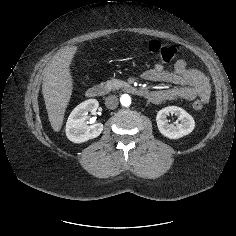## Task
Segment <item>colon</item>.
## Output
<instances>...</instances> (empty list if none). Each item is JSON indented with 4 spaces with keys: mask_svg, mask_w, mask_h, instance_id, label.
I'll return each mask as SVG.
<instances>
[{
    "mask_svg": "<svg viewBox=\"0 0 236 236\" xmlns=\"http://www.w3.org/2000/svg\"><path fill=\"white\" fill-rule=\"evenodd\" d=\"M149 51L155 56L159 57L165 62L173 61L177 57V49L174 46L163 44L158 40H151L148 42ZM82 72L80 74V82L84 83L87 81L90 75V60L81 59ZM204 103L201 100H196L193 103V108L197 111L203 108Z\"/></svg>",
    "mask_w": 236,
    "mask_h": 236,
    "instance_id": "1",
    "label": "colon"
}]
</instances>
